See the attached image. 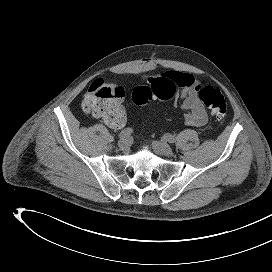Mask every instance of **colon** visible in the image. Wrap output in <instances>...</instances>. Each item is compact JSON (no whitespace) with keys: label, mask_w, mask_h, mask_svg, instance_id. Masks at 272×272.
Instances as JSON below:
<instances>
[{"label":"colon","mask_w":272,"mask_h":272,"mask_svg":"<svg viewBox=\"0 0 272 272\" xmlns=\"http://www.w3.org/2000/svg\"><path fill=\"white\" fill-rule=\"evenodd\" d=\"M177 90L176 84L165 77L152 79L148 85L137 87L132 94L135 104L142 105L153 99H170ZM198 95L211 114L223 121L227 114V102L217 87L202 83ZM124 96L121 87L97 79L93 81L83 99V110L103 119H110L119 112V101Z\"/></svg>","instance_id":"colon-1"}]
</instances>
